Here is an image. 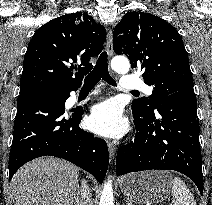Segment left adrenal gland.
Returning <instances> with one entry per match:
<instances>
[{
	"label": "left adrenal gland",
	"mask_w": 212,
	"mask_h": 205,
	"mask_svg": "<svg viewBox=\"0 0 212 205\" xmlns=\"http://www.w3.org/2000/svg\"><path fill=\"white\" fill-rule=\"evenodd\" d=\"M127 205H132V204L130 202H128Z\"/></svg>",
	"instance_id": "left-adrenal-gland-1"
}]
</instances>
